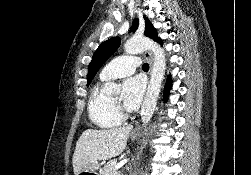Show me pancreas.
<instances>
[{"instance_id":"1","label":"pancreas","mask_w":251,"mask_h":175,"mask_svg":"<svg viewBox=\"0 0 251 175\" xmlns=\"http://www.w3.org/2000/svg\"><path fill=\"white\" fill-rule=\"evenodd\" d=\"M118 159H121V157H118ZM116 161L117 159H110V161H107L106 165L102 167L100 175H121V173L115 169Z\"/></svg>"}]
</instances>
